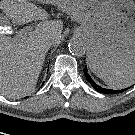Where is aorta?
<instances>
[{
    "mask_svg": "<svg viewBox=\"0 0 135 135\" xmlns=\"http://www.w3.org/2000/svg\"><path fill=\"white\" fill-rule=\"evenodd\" d=\"M69 51L75 56H83L86 52L87 46L82 38L73 37L68 43Z\"/></svg>",
    "mask_w": 135,
    "mask_h": 135,
    "instance_id": "762f6f07",
    "label": "aorta"
}]
</instances>
